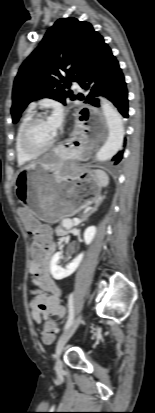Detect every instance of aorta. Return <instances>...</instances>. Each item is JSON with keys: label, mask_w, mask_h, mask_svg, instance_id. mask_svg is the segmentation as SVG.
I'll return each mask as SVG.
<instances>
[{"label": "aorta", "mask_w": 155, "mask_h": 413, "mask_svg": "<svg viewBox=\"0 0 155 413\" xmlns=\"http://www.w3.org/2000/svg\"><path fill=\"white\" fill-rule=\"evenodd\" d=\"M100 105L108 127V137L97 152L96 159L98 161H107L122 147L125 134L124 123L122 116L110 101L101 98Z\"/></svg>", "instance_id": "1"}]
</instances>
